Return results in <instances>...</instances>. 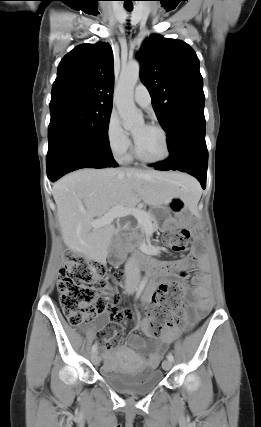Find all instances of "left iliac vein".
<instances>
[{
    "label": "left iliac vein",
    "mask_w": 261,
    "mask_h": 427,
    "mask_svg": "<svg viewBox=\"0 0 261 427\" xmlns=\"http://www.w3.org/2000/svg\"><path fill=\"white\" fill-rule=\"evenodd\" d=\"M172 367V362L170 360H164L162 363V368L166 371L170 370Z\"/></svg>",
    "instance_id": "left-iliac-vein-1"
}]
</instances>
